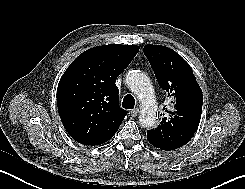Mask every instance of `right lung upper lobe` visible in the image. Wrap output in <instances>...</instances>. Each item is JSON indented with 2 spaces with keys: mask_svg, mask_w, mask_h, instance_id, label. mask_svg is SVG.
Segmentation results:
<instances>
[{
  "mask_svg": "<svg viewBox=\"0 0 245 189\" xmlns=\"http://www.w3.org/2000/svg\"><path fill=\"white\" fill-rule=\"evenodd\" d=\"M139 51L137 45L110 44L80 54L67 68L57 89L61 121L84 145H100L117 132L127 111L119 106L116 78Z\"/></svg>",
  "mask_w": 245,
  "mask_h": 189,
  "instance_id": "obj_1",
  "label": "right lung upper lobe"
}]
</instances>
